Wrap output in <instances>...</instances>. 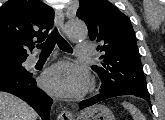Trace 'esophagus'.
Here are the masks:
<instances>
[{"label":"esophagus","mask_w":165,"mask_h":120,"mask_svg":"<svg viewBox=\"0 0 165 120\" xmlns=\"http://www.w3.org/2000/svg\"><path fill=\"white\" fill-rule=\"evenodd\" d=\"M56 24L61 32L64 29V13L61 10L55 11ZM59 120H73V115L70 111L64 110L58 115Z\"/></svg>","instance_id":"1"}]
</instances>
